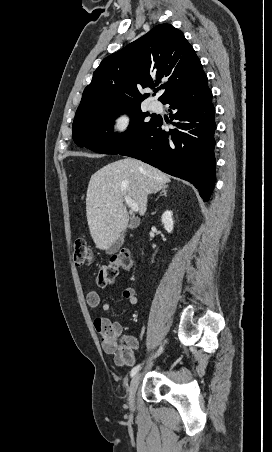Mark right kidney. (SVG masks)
Here are the masks:
<instances>
[{"mask_svg":"<svg viewBox=\"0 0 272 452\" xmlns=\"http://www.w3.org/2000/svg\"><path fill=\"white\" fill-rule=\"evenodd\" d=\"M173 213L172 211H165L163 213V215L161 216V221L164 225V229L168 232L171 233L173 231V225H174V221H173Z\"/></svg>","mask_w":272,"mask_h":452,"instance_id":"obj_1","label":"right kidney"}]
</instances>
